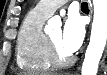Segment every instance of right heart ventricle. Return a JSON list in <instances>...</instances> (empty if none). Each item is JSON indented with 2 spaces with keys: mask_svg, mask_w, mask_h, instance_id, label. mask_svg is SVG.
I'll return each instance as SVG.
<instances>
[{
  "mask_svg": "<svg viewBox=\"0 0 107 75\" xmlns=\"http://www.w3.org/2000/svg\"><path fill=\"white\" fill-rule=\"evenodd\" d=\"M46 19L36 10L30 11L24 18L16 43V62L19 68L31 72H47L52 69L43 32Z\"/></svg>",
  "mask_w": 107,
  "mask_h": 75,
  "instance_id": "obj_1",
  "label": "right heart ventricle"
}]
</instances>
